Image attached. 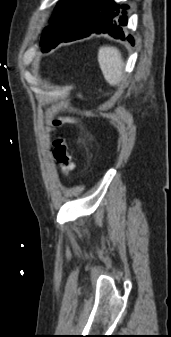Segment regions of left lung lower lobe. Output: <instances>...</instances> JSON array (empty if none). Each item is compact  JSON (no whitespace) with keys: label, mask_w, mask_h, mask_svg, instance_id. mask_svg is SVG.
Returning a JSON list of instances; mask_svg holds the SVG:
<instances>
[{"label":"left lung lower lobe","mask_w":171,"mask_h":337,"mask_svg":"<svg viewBox=\"0 0 171 337\" xmlns=\"http://www.w3.org/2000/svg\"><path fill=\"white\" fill-rule=\"evenodd\" d=\"M127 8L125 5H116L114 0H86L78 22L59 43L81 39L92 33H108L114 38L124 40L123 27L128 22L125 11ZM127 40L134 45L131 35Z\"/></svg>","instance_id":"1"}]
</instances>
